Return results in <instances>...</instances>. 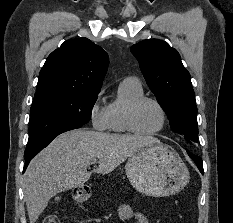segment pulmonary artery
I'll return each mask as SVG.
<instances>
[{
	"label": "pulmonary artery",
	"instance_id": "pulmonary-artery-1",
	"mask_svg": "<svg viewBox=\"0 0 233 223\" xmlns=\"http://www.w3.org/2000/svg\"><path fill=\"white\" fill-rule=\"evenodd\" d=\"M126 80H134V81H138V79H137V78H135V77H129V78H127Z\"/></svg>",
	"mask_w": 233,
	"mask_h": 223
}]
</instances>
